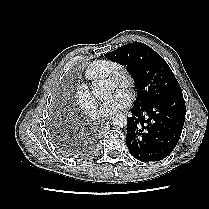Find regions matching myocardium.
Instances as JSON below:
<instances>
[{
    "mask_svg": "<svg viewBox=\"0 0 209 209\" xmlns=\"http://www.w3.org/2000/svg\"><path fill=\"white\" fill-rule=\"evenodd\" d=\"M108 81L114 87L128 91L131 90L135 84V78L133 74L125 68H119L108 78Z\"/></svg>",
    "mask_w": 209,
    "mask_h": 209,
    "instance_id": "myocardium-1",
    "label": "myocardium"
}]
</instances>
